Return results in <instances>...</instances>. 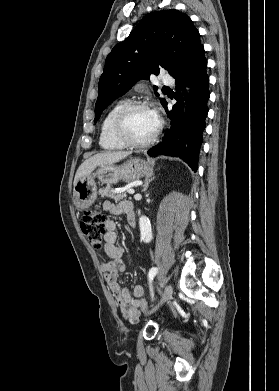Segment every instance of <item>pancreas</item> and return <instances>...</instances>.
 Returning <instances> with one entry per match:
<instances>
[{"instance_id":"1","label":"pancreas","mask_w":279,"mask_h":391,"mask_svg":"<svg viewBox=\"0 0 279 391\" xmlns=\"http://www.w3.org/2000/svg\"><path fill=\"white\" fill-rule=\"evenodd\" d=\"M99 194L103 198L105 197L108 199H114L115 201H120V200L126 199V197H127L126 193L115 192V191L111 190L109 187L100 189Z\"/></svg>"}]
</instances>
